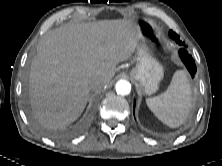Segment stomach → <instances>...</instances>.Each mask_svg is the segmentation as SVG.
Here are the masks:
<instances>
[{
    "label": "stomach",
    "instance_id": "stomach-1",
    "mask_svg": "<svg viewBox=\"0 0 222 166\" xmlns=\"http://www.w3.org/2000/svg\"><path fill=\"white\" fill-rule=\"evenodd\" d=\"M136 61V66L130 71V77L140 85L145 94L155 93L164 75L163 67L145 47L138 48Z\"/></svg>",
    "mask_w": 222,
    "mask_h": 166
}]
</instances>
